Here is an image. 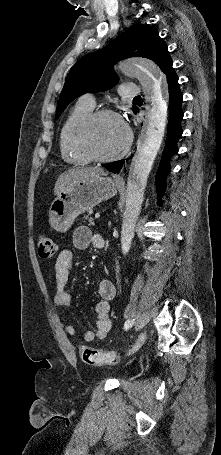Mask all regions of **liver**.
Here are the masks:
<instances>
[{"label":"liver","mask_w":221,"mask_h":455,"mask_svg":"<svg viewBox=\"0 0 221 455\" xmlns=\"http://www.w3.org/2000/svg\"><path fill=\"white\" fill-rule=\"evenodd\" d=\"M105 175L99 167H75L62 173L55 183L54 194L59 195L66 187L79 181L93 179Z\"/></svg>","instance_id":"obj_1"}]
</instances>
